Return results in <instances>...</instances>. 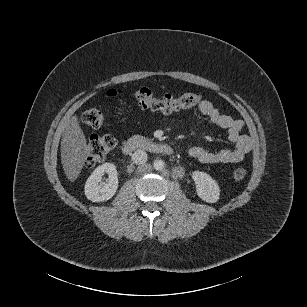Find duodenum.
I'll return each mask as SVG.
<instances>
[{"instance_id": "duodenum-1", "label": "duodenum", "mask_w": 307, "mask_h": 307, "mask_svg": "<svg viewBox=\"0 0 307 307\" xmlns=\"http://www.w3.org/2000/svg\"><path fill=\"white\" fill-rule=\"evenodd\" d=\"M139 149L167 156L172 155L174 152L173 147L169 144L153 141L140 136L129 138L122 147L124 154H130Z\"/></svg>"}]
</instances>
